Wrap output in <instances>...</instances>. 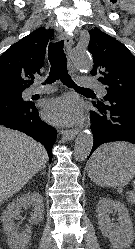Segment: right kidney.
Segmentation results:
<instances>
[{"mask_svg":"<svg viewBox=\"0 0 135 249\" xmlns=\"http://www.w3.org/2000/svg\"><path fill=\"white\" fill-rule=\"evenodd\" d=\"M33 207L29 222L37 224L43 220L44 205L42 196L38 193L22 195L13 200L2 214L4 232L7 235L8 245L11 249H25L31 237V228L18 232L14 219L20 214L22 208Z\"/></svg>","mask_w":135,"mask_h":249,"instance_id":"1","label":"right kidney"}]
</instances>
